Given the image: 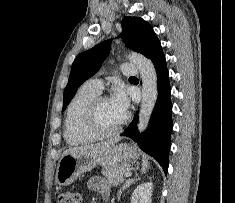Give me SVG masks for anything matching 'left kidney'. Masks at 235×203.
Wrapping results in <instances>:
<instances>
[{"instance_id": "5707ae66", "label": "left kidney", "mask_w": 235, "mask_h": 203, "mask_svg": "<svg viewBox=\"0 0 235 203\" xmlns=\"http://www.w3.org/2000/svg\"><path fill=\"white\" fill-rule=\"evenodd\" d=\"M152 192V182H146L138 185L132 193L131 203H151Z\"/></svg>"}]
</instances>
